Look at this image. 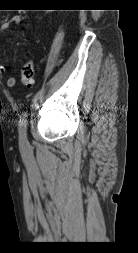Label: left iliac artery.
<instances>
[{
    "label": "left iliac artery",
    "mask_w": 138,
    "mask_h": 253,
    "mask_svg": "<svg viewBox=\"0 0 138 253\" xmlns=\"http://www.w3.org/2000/svg\"><path fill=\"white\" fill-rule=\"evenodd\" d=\"M19 139L27 143V112H24L19 121Z\"/></svg>",
    "instance_id": "1"
}]
</instances>
